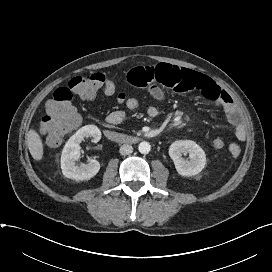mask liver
Instances as JSON below:
<instances>
[{"label": "liver", "mask_w": 272, "mask_h": 272, "mask_svg": "<svg viewBox=\"0 0 272 272\" xmlns=\"http://www.w3.org/2000/svg\"><path fill=\"white\" fill-rule=\"evenodd\" d=\"M27 144L32 157L37 161L42 160L44 153L42 139L33 129L28 132Z\"/></svg>", "instance_id": "liver-1"}]
</instances>
